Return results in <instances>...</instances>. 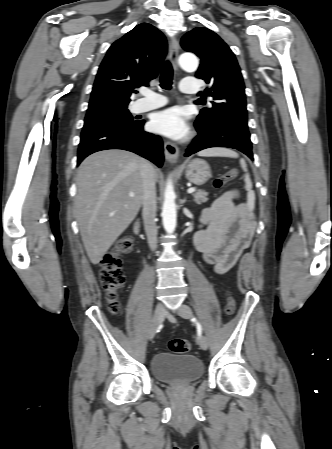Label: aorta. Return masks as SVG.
<instances>
[{
  "mask_svg": "<svg viewBox=\"0 0 332 449\" xmlns=\"http://www.w3.org/2000/svg\"><path fill=\"white\" fill-rule=\"evenodd\" d=\"M179 64L181 68L188 72H194L198 68V59L195 55L185 53L179 57ZM175 192L171 181L167 183L164 202L162 207V221L163 227L167 233L171 234L176 228V203H175Z\"/></svg>",
  "mask_w": 332,
  "mask_h": 449,
  "instance_id": "1",
  "label": "aorta"
}]
</instances>
